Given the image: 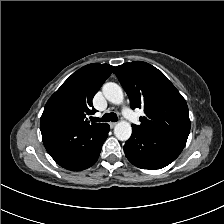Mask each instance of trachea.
<instances>
[{"mask_svg":"<svg viewBox=\"0 0 224 224\" xmlns=\"http://www.w3.org/2000/svg\"><path fill=\"white\" fill-rule=\"evenodd\" d=\"M90 119L93 122H109V121L116 122L118 118L115 113L111 112L104 114L102 118L91 117Z\"/></svg>","mask_w":224,"mask_h":224,"instance_id":"3493384b","label":"trachea"}]
</instances>
